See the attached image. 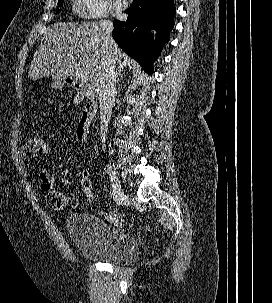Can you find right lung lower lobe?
I'll use <instances>...</instances> for the list:
<instances>
[{"label":"right lung lower lobe","instance_id":"1","mask_svg":"<svg viewBox=\"0 0 272 303\" xmlns=\"http://www.w3.org/2000/svg\"><path fill=\"white\" fill-rule=\"evenodd\" d=\"M126 13V21H113L112 36L125 53L152 73V64L174 27V0H134ZM152 29L157 31L155 39Z\"/></svg>","mask_w":272,"mask_h":303}]
</instances>
